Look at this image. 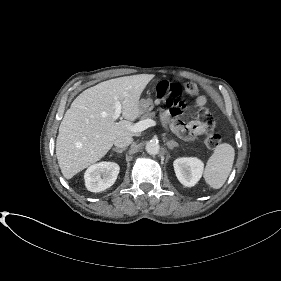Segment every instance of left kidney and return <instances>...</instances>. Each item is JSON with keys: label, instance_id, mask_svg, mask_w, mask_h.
<instances>
[{"label": "left kidney", "instance_id": "obj_1", "mask_svg": "<svg viewBox=\"0 0 281 281\" xmlns=\"http://www.w3.org/2000/svg\"><path fill=\"white\" fill-rule=\"evenodd\" d=\"M177 179L186 187L194 186L202 177L204 164L196 157L177 158L173 162Z\"/></svg>", "mask_w": 281, "mask_h": 281}]
</instances>
